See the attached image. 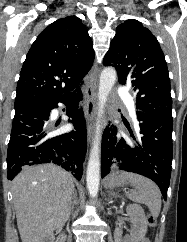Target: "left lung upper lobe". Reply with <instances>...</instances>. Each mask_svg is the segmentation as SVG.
I'll use <instances>...</instances> for the list:
<instances>
[{
  "mask_svg": "<svg viewBox=\"0 0 187 242\" xmlns=\"http://www.w3.org/2000/svg\"><path fill=\"white\" fill-rule=\"evenodd\" d=\"M103 64L115 67L121 84L131 82L137 110L172 119L164 54L155 36L139 21L130 19L117 27Z\"/></svg>",
  "mask_w": 187,
  "mask_h": 242,
  "instance_id": "1",
  "label": "left lung upper lobe"
}]
</instances>
